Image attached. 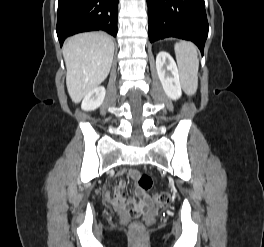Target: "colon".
Here are the masks:
<instances>
[{
    "instance_id": "5ec220e1",
    "label": "colon",
    "mask_w": 264,
    "mask_h": 247,
    "mask_svg": "<svg viewBox=\"0 0 264 247\" xmlns=\"http://www.w3.org/2000/svg\"><path fill=\"white\" fill-rule=\"evenodd\" d=\"M137 184L138 187L145 192H148L151 190L153 186L152 178L146 174L141 173L137 177ZM170 199V195L167 192H159L155 195V202L160 205H164L168 203ZM123 205V204H122ZM126 208L128 210V213L131 217H133L135 220L132 222L131 227L134 231H140L142 228V224L137 220V218L140 215V209L139 206L133 203L127 204Z\"/></svg>"
}]
</instances>
